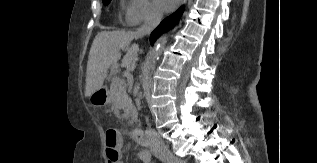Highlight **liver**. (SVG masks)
Masks as SVG:
<instances>
[{"mask_svg": "<svg viewBox=\"0 0 317 163\" xmlns=\"http://www.w3.org/2000/svg\"><path fill=\"white\" fill-rule=\"evenodd\" d=\"M140 36L132 31H101L92 43L86 69L85 96L90 97L95 91L102 88L109 67L116 64L121 58V50L126 51V55L121 61V67L127 72L134 71L138 61V44H131L134 39ZM126 73H124V76Z\"/></svg>", "mask_w": 317, "mask_h": 163, "instance_id": "6515ba94", "label": "liver"}]
</instances>
